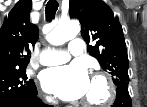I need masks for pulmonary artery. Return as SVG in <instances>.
<instances>
[{"label":"pulmonary artery","mask_w":147,"mask_h":107,"mask_svg":"<svg viewBox=\"0 0 147 107\" xmlns=\"http://www.w3.org/2000/svg\"><path fill=\"white\" fill-rule=\"evenodd\" d=\"M82 43L81 38H75L69 43L67 50H46L42 53L40 62L46 66L65 63L71 56H77L83 52Z\"/></svg>","instance_id":"obj_1"}]
</instances>
